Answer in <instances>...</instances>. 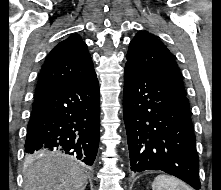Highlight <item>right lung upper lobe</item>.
Listing matches in <instances>:
<instances>
[{
  "mask_svg": "<svg viewBox=\"0 0 221 190\" xmlns=\"http://www.w3.org/2000/svg\"><path fill=\"white\" fill-rule=\"evenodd\" d=\"M95 74L87 45L77 34L57 44L41 69L34 98Z\"/></svg>",
  "mask_w": 221,
  "mask_h": 190,
  "instance_id": "obj_1",
  "label": "right lung upper lobe"
}]
</instances>
